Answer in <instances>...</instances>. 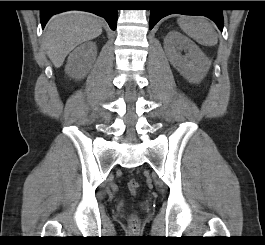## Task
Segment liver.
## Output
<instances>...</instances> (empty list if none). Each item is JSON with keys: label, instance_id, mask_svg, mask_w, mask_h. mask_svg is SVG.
Here are the masks:
<instances>
[{"label": "liver", "instance_id": "6515ba94", "mask_svg": "<svg viewBox=\"0 0 265 245\" xmlns=\"http://www.w3.org/2000/svg\"><path fill=\"white\" fill-rule=\"evenodd\" d=\"M102 24L101 18L89 12L68 11L54 15L44 34V47L53 65L61 67L75 47L100 36Z\"/></svg>", "mask_w": 265, "mask_h": 245}]
</instances>
